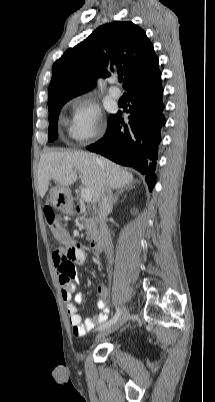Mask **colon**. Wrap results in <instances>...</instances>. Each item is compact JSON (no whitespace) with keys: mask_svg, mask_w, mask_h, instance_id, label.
Returning <instances> with one entry per match:
<instances>
[{"mask_svg":"<svg viewBox=\"0 0 215 402\" xmlns=\"http://www.w3.org/2000/svg\"><path fill=\"white\" fill-rule=\"evenodd\" d=\"M44 216L45 219L56 238L57 244H63L64 249L69 250L72 247L74 238L71 235H66L63 229L60 227L59 223L57 222L55 212L52 207L47 206L44 208ZM72 270V266L67 264L64 267V271L70 272Z\"/></svg>","mask_w":215,"mask_h":402,"instance_id":"5ec220e1","label":"colon"}]
</instances>
